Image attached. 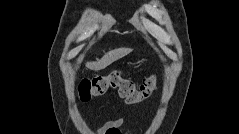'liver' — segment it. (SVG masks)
<instances>
[{"mask_svg":"<svg viewBox=\"0 0 239 134\" xmlns=\"http://www.w3.org/2000/svg\"><path fill=\"white\" fill-rule=\"evenodd\" d=\"M131 51L132 49L130 48H118L115 50H111L107 52L100 60H97L95 62H87L86 67L94 71L102 70L113 62L126 56Z\"/></svg>","mask_w":239,"mask_h":134,"instance_id":"6515ba94","label":"liver"}]
</instances>
